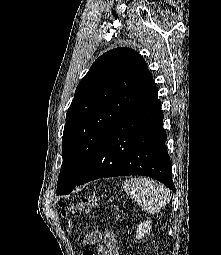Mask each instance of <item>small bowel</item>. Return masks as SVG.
I'll return each instance as SVG.
<instances>
[{"label": "small bowel", "mask_w": 221, "mask_h": 255, "mask_svg": "<svg viewBox=\"0 0 221 255\" xmlns=\"http://www.w3.org/2000/svg\"><path fill=\"white\" fill-rule=\"evenodd\" d=\"M97 245V255H118V243L112 232L107 231L104 234L99 232L91 233L84 241L83 245Z\"/></svg>", "instance_id": "c3829d8e"}]
</instances>
